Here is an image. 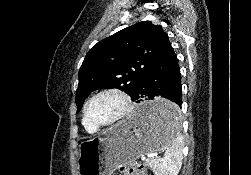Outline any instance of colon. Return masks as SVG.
Returning a JSON list of instances; mask_svg holds the SVG:
<instances>
[{"label": "colon", "mask_w": 251, "mask_h": 175, "mask_svg": "<svg viewBox=\"0 0 251 175\" xmlns=\"http://www.w3.org/2000/svg\"><path fill=\"white\" fill-rule=\"evenodd\" d=\"M120 171L122 175H148L144 164L137 160L124 163Z\"/></svg>", "instance_id": "5ec220e1"}]
</instances>
